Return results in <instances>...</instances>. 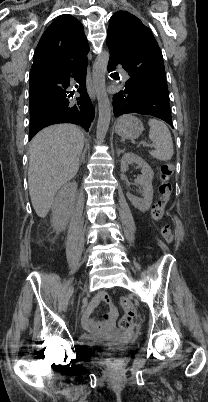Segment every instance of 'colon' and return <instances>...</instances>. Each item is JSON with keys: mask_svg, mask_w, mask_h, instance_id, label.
Listing matches in <instances>:
<instances>
[{"mask_svg": "<svg viewBox=\"0 0 208 402\" xmlns=\"http://www.w3.org/2000/svg\"><path fill=\"white\" fill-rule=\"evenodd\" d=\"M175 166L171 162H164L160 165L159 168V179H160V186H159V197L154 204V207L151 211L152 218L160 222L162 221L165 213V209L170 201L171 194L173 191V184L171 178L174 175ZM161 236L163 240L171 244L174 239L175 235L168 224H163L161 226ZM120 305L125 310L123 316L120 319L119 325L122 328H128L132 325V319L136 313L134 308V304L131 301L130 297H121L120 298Z\"/></svg>", "mask_w": 208, "mask_h": 402, "instance_id": "5ec220e1", "label": "colon"}]
</instances>
